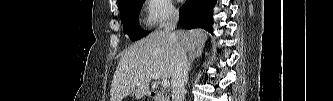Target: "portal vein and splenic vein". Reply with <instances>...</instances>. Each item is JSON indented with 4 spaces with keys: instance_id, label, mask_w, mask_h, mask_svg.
Here are the masks:
<instances>
[{
    "instance_id": "18ae733b",
    "label": "portal vein and splenic vein",
    "mask_w": 333,
    "mask_h": 101,
    "mask_svg": "<svg viewBox=\"0 0 333 101\" xmlns=\"http://www.w3.org/2000/svg\"><path fill=\"white\" fill-rule=\"evenodd\" d=\"M151 78L159 80V76L157 74H151ZM160 84L162 85L163 88L169 87V81L167 79L162 80Z\"/></svg>"
}]
</instances>
